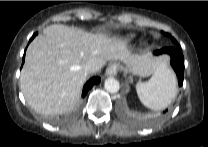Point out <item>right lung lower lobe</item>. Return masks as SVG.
<instances>
[{
	"mask_svg": "<svg viewBox=\"0 0 208 147\" xmlns=\"http://www.w3.org/2000/svg\"><path fill=\"white\" fill-rule=\"evenodd\" d=\"M36 35H37V33H35V34L32 36V38L30 39V41H31ZM24 56H25V54H24ZM23 62H24V57H23L22 64H23ZM99 82H100V78H99V77H93V78H91V79L85 84V86H84V88H83L82 96L84 97V96L87 94L88 90L91 89L93 85L98 84Z\"/></svg>",
	"mask_w": 208,
	"mask_h": 147,
	"instance_id": "right-lung-lower-lobe-1",
	"label": "right lung lower lobe"
}]
</instances>
